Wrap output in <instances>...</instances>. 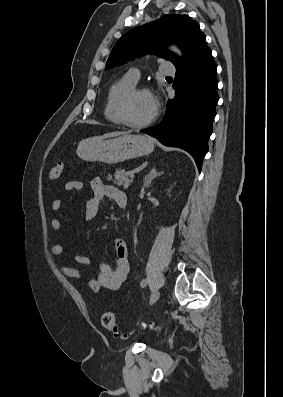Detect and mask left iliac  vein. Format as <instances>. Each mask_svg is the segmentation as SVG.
<instances>
[{
  "label": "left iliac vein",
  "mask_w": 283,
  "mask_h": 397,
  "mask_svg": "<svg viewBox=\"0 0 283 397\" xmlns=\"http://www.w3.org/2000/svg\"><path fill=\"white\" fill-rule=\"evenodd\" d=\"M160 297V292L159 291H154L151 295L150 298V305L154 304Z\"/></svg>",
  "instance_id": "left-iliac-vein-1"
}]
</instances>
